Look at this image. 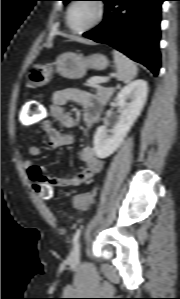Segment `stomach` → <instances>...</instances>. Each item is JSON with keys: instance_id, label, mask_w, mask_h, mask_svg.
<instances>
[{"instance_id": "0dacf381", "label": "stomach", "mask_w": 180, "mask_h": 299, "mask_svg": "<svg viewBox=\"0 0 180 299\" xmlns=\"http://www.w3.org/2000/svg\"><path fill=\"white\" fill-rule=\"evenodd\" d=\"M108 59L102 54H92L84 57L74 52L59 55L54 63L55 72L69 79H78L85 75L88 69L103 70L108 66ZM54 69L49 65H32L27 72V86L42 87L52 76Z\"/></svg>"}]
</instances>
